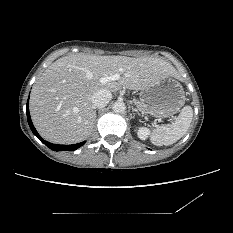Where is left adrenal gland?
<instances>
[{
    "label": "left adrenal gland",
    "instance_id": "obj_1",
    "mask_svg": "<svg viewBox=\"0 0 233 233\" xmlns=\"http://www.w3.org/2000/svg\"><path fill=\"white\" fill-rule=\"evenodd\" d=\"M132 112H136L138 115H140V113L138 112V110L136 108H134L133 106H132Z\"/></svg>",
    "mask_w": 233,
    "mask_h": 233
}]
</instances>
